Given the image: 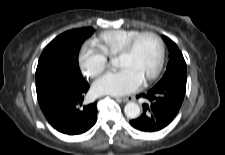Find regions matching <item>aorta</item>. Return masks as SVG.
Instances as JSON below:
<instances>
[{"label":"aorta","mask_w":225,"mask_h":155,"mask_svg":"<svg viewBox=\"0 0 225 155\" xmlns=\"http://www.w3.org/2000/svg\"><path fill=\"white\" fill-rule=\"evenodd\" d=\"M124 113L130 119L138 118L140 115V107L135 102H129L124 107Z\"/></svg>","instance_id":"obj_1"}]
</instances>
